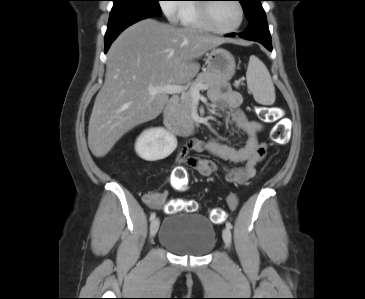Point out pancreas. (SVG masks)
I'll use <instances>...</instances> for the list:
<instances>
[{"label": "pancreas", "instance_id": "pancreas-1", "mask_svg": "<svg viewBox=\"0 0 365 299\" xmlns=\"http://www.w3.org/2000/svg\"><path fill=\"white\" fill-rule=\"evenodd\" d=\"M226 78L220 75L214 74L210 71H205L200 73L194 82H192L191 87L198 84H203L207 86V89L221 85L225 82ZM192 104L193 97L190 91L185 92L180 97V102L174 107V118L176 123L184 129H192L194 121L192 119Z\"/></svg>", "mask_w": 365, "mask_h": 299}]
</instances>
